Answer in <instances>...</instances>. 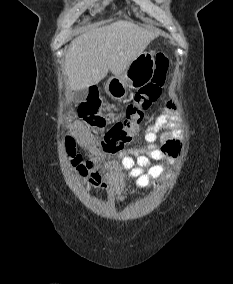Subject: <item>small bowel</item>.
I'll return each mask as SVG.
<instances>
[{
	"label": "small bowel",
	"mask_w": 233,
	"mask_h": 284,
	"mask_svg": "<svg viewBox=\"0 0 233 284\" xmlns=\"http://www.w3.org/2000/svg\"><path fill=\"white\" fill-rule=\"evenodd\" d=\"M176 117L177 105L170 100L155 121L145 128L147 145L135 146L119 153L117 160L107 162L103 168L97 164L91 172L88 184L110 191H119L128 177L134 178L139 187H147L152 180L159 178L169 179L171 173H166L165 165L151 162L173 163L179 156L182 146L173 131ZM75 133L80 143L90 139V133L81 124L75 126Z\"/></svg>",
	"instance_id": "small-bowel-1"
}]
</instances>
